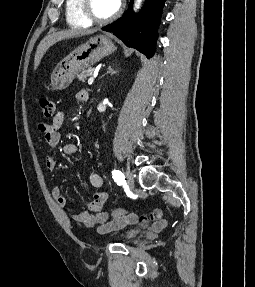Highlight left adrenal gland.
I'll list each match as a JSON object with an SVG mask.
<instances>
[{
	"instance_id": "left-adrenal-gland-1",
	"label": "left adrenal gland",
	"mask_w": 255,
	"mask_h": 287,
	"mask_svg": "<svg viewBox=\"0 0 255 287\" xmlns=\"http://www.w3.org/2000/svg\"><path fill=\"white\" fill-rule=\"evenodd\" d=\"M107 74H111V76H113V74H117V70H113L112 66H108Z\"/></svg>"
}]
</instances>
